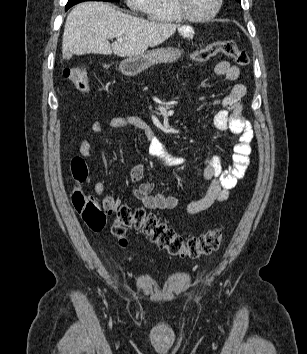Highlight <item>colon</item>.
<instances>
[{
  "instance_id": "colon-1",
  "label": "colon",
  "mask_w": 307,
  "mask_h": 354,
  "mask_svg": "<svg viewBox=\"0 0 307 354\" xmlns=\"http://www.w3.org/2000/svg\"><path fill=\"white\" fill-rule=\"evenodd\" d=\"M218 54L233 59L239 66H246L249 62L248 54L240 49L234 40L215 41L193 52L190 58L195 62H204ZM63 75L81 89H84L89 81L87 70L80 66L64 69ZM71 172L77 183L85 182L88 171L84 160L75 157L71 162ZM71 199L77 213L94 231L102 230L106 225L107 214L115 212L111 232L118 238L121 246L127 244L125 233L130 228L149 236L159 248L164 249L169 255L181 258L194 259L209 255L219 247L222 241L221 228L209 230L197 237L184 239L167 224L159 221L154 214L146 212L143 208L132 209L129 206L120 205L112 211L104 205L101 207L93 196L85 194L79 188L74 189Z\"/></svg>"
}]
</instances>
